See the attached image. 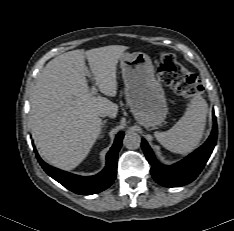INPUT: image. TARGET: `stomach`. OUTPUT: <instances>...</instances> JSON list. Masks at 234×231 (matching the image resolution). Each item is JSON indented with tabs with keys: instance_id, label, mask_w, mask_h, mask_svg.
I'll list each match as a JSON object with an SVG mask.
<instances>
[{
	"instance_id": "0dacf381",
	"label": "stomach",
	"mask_w": 234,
	"mask_h": 231,
	"mask_svg": "<svg viewBox=\"0 0 234 231\" xmlns=\"http://www.w3.org/2000/svg\"><path fill=\"white\" fill-rule=\"evenodd\" d=\"M120 67L126 102L137 122L144 127L160 125L166 118L168 106L150 57L143 52L123 53Z\"/></svg>"
}]
</instances>
